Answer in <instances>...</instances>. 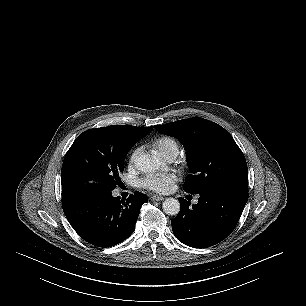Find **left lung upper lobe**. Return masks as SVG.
Listing matches in <instances>:
<instances>
[{
  "mask_svg": "<svg viewBox=\"0 0 306 306\" xmlns=\"http://www.w3.org/2000/svg\"><path fill=\"white\" fill-rule=\"evenodd\" d=\"M166 135L179 139L186 150L190 174L184 190L199 194L213 189L247 192L248 169L245 157L230 133L200 117L156 125Z\"/></svg>",
  "mask_w": 306,
  "mask_h": 306,
  "instance_id": "obj_1",
  "label": "left lung upper lobe"
}]
</instances>
